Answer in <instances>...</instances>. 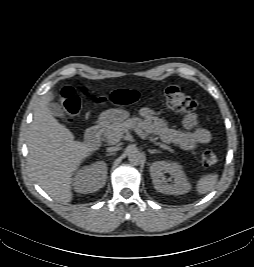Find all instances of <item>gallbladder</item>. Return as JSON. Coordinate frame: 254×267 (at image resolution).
Instances as JSON below:
<instances>
[{
	"mask_svg": "<svg viewBox=\"0 0 254 267\" xmlns=\"http://www.w3.org/2000/svg\"><path fill=\"white\" fill-rule=\"evenodd\" d=\"M47 107L52 115L59 118H64V111L58 103H48Z\"/></svg>",
	"mask_w": 254,
	"mask_h": 267,
	"instance_id": "bac80fb5",
	"label": "gallbladder"
}]
</instances>
